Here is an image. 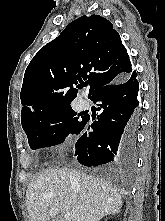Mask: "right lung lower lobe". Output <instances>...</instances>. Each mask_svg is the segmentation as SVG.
Listing matches in <instances>:
<instances>
[{
	"mask_svg": "<svg viewBox=\"0 0 165 221\" xmlns=\"http://www.w3.org/2000/svg\"><path fill=\"white\" fill-rule=\"evenodd\" d=\"M138 85L136 73H133L92 95L90 99L98 102L99 115L91 125L93 131L84 132L76 142L75 155L81 164L98 166L109 163L125 169L133 168L137 155ZM88 122L89 118H86L77 134L87 127Z\"/></svg>",
	"mask_w": 165,
	"mask_h": 221,
	"instance_id": "1",
	"label": "right lung lower lobe"
}]
</instances>
